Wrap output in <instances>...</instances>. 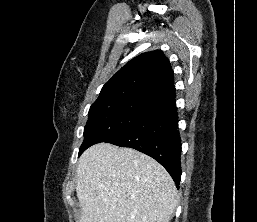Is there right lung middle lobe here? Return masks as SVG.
<instances>
[{
    "label": "right lung middle lobe",
    "instance_id": "dd1d6c3e",
    "mask_svg": "<svg viewBox=\"0 0 257 222\" xmlns=\"http://www.w3.org/2000/svg\"><path fill=\"white\" fill-rule=\"evenodd\" d=\"M161 108L155 102L139 98L96 100L88 113L89 118L84 128V141L79 155L91 145L106 142Z\"/></svg>",
    "mask_w": 257,
    "mask_h": 222
}]
</instances>
